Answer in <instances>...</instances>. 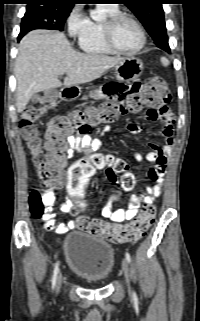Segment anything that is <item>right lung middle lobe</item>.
Here are the masks:
<instances>
[{
    "instance_id": "dd1d6c3e",
    "label": "right lung middle lobe",
    "mask_w": 200,
    "mask_h": 321,
    "mask_svg": "<svg viewBox=\"0 0 200 321\" xmlns=\"http://www.w3.org/2000/svg\"><path fill=\"white\" fill-rule=\"evenodd\" d=\"M72 8H63L46 3H31L21 21L20 40L26 33L34 29H50L62 31L64 23Z\"/></svg>"
}]
</instances>
